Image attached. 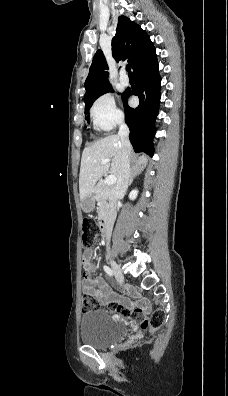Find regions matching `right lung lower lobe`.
<instances>
[{"label": "right lung lower lobe", "mask_w": 228, "mask_h": 396, "mask_svg": "<svg viewBox=\"0 0 228 396\" xmlns=\"http://www.w3.org/2000/svg\"><path fill=\"white\" fill-rule=\"evenodd\" d=\"M135 86L122 94L125 108V119L130 129L129 139L135 152L154 154V127L160 104V76L156 50L153 47L144 60L133 70ZM131 95L139 97V106L131 108L127 99Z\"/></svg>", "instance_id": "right-lung-lower-lobe-1"}]
</instances>
